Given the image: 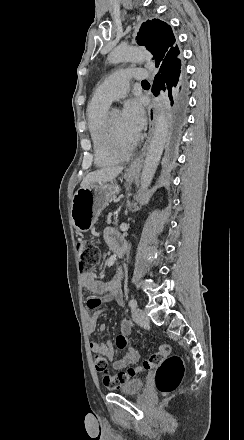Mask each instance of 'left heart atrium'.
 I'll use <instances>...</instances> for the list:
<instances>
[{
  "instance_id": "1",
  "label": "left heart atrium",
  "mask_w": 244,
  "mask_h": 440,
  "mask_svg": "<svg viewBox=\"0 0 244 440\" xmlns=\"http://www.w3.org/2000/svg\"><path fill=\"white\" fill-rule=\"evenodd\" d=\"M122 115L125 128L131 135H135L145 126V110L142 101L139 99L128 100L124 105Z\"/></svg>"
}]
</instances>
